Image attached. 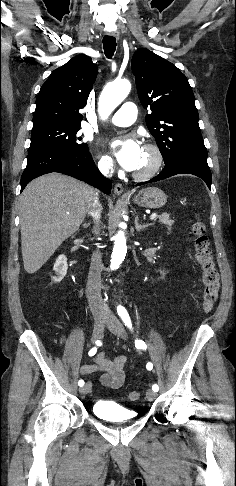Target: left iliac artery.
Returning <instances> with one entry per match:
<instances>
[{"instance_id": "obj_1", "label": "left iliac artery", "mask_w": 236, "mask_h": 486, "mask_svg": "<svg viewBox=\"0 0 236 486\" xmlns=\"http://www.w3.org/2000/svg\"><path fill=\"white\" fill-rule=\"evenodd\" d=\"M117 313L120 316V318L122 319V321L124 322L125 326H127L129 329L132 330V323H131V319H130V316H129L127 310L123 306L119 305L117 307ZM135 346L137 348H141V349L147 348L145 342L142 341V340H135ZM146 368L148 370H152V368H153L152 363L148 362L147 365H146ZM152 389H153V391L157 392L159 390V387H158L157 384H154L152 386Z\"/></svg>"}]
</instances>
